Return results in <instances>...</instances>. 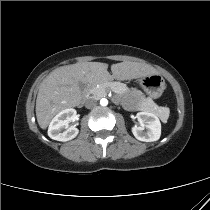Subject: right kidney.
I'll return each instance as SVG.
<instances>
[{
  "instance_id": "1",
  "label": "right kidney",
  "mask_w": 210,
  "mask_h": 210,
  "mask_svg": "<svg viewBox=\"0 0 210 210\" xmlns=\"http://www.w3.org/2000/svg\"><path fill=\"white\" fill-rule=\"evenodd\" d=\"M76 110L73 108L59 112L50 122L48 136L57 141H69L75 138L79 130L69 126V122L76 120Z\"/></svg>"
}]
</instances>
